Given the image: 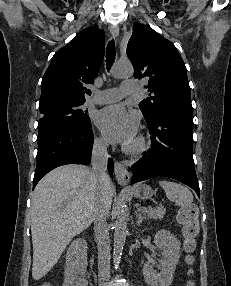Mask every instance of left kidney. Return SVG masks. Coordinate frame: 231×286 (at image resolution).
Instances as JSON below:
<instances>
[{"instance_id":"left-kidney-1","label":"left kidney","mask_w":231,"mask_h":286,"mask_svg":"<svg viewBox=\"0 0 231 286\" xmlns=\"http://www.w3.org/2000/svg\"><path fill=\"white\" fill-rule=\"evenodd\" d=\"M154 244L162 251L158 266L160 272L153 269L155 260L151 258L143 266L144 279L149 286H169L179 261L181 243L170 231L162 229L156 233Z\"/></svg>"}]
</instances>
